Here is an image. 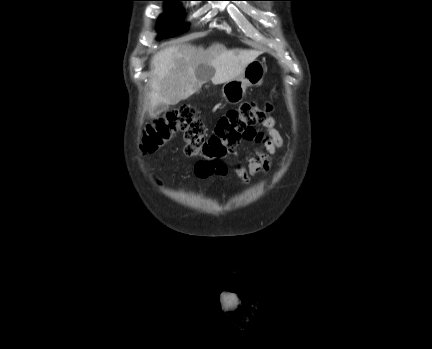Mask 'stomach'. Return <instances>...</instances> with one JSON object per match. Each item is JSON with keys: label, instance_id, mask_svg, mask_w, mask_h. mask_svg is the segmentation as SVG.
<instances>
[{"label": "stomach", "instance_id": "0dacf381", "mask_svg": "<svg viewBox=\"0 0 432 349\" xmlns=\"http://www.w3.org/2000/svg\"><path fill=\"white\" fill-rule=\"evenodd\" d=\"M266 70L262 61L254 60L249 63L240 76L224 83L222 94L225 100L231 104L240 103L245 97L247 87L262 83Z\"/></svg>", "mask_w": 432, "mask_h": 349}]
</instances>
